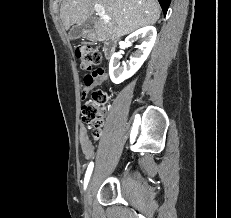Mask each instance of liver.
Segmentation results:
<instances>
[{"instance_id":"obj_1","label":"liver","mask_w":231,"mask_h":218,"mask_svg":"<svg viewBox=\"0 0 231 218\" xmlns=\"http://www.w3.org/2000/svg\"><path fill=\"white\" fill-rule=\"evenodd\" d=\"M95 4L103 6L105 15L95 20V30L105 38L118 39L141 27L153 25L160 17L157 0H63L60 17L66 30L90 17Z\"/></svg>"}]
</instances>
